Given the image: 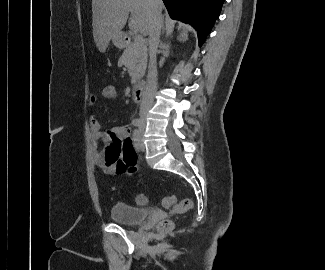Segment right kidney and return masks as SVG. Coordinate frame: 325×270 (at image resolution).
I'll use <instances>...</instances> for the list:
<instances>
[{
	"label": "right kidney",
	"mask_w": 325,
	"mask_h": 270,
	"mask_svg": "<svg viewBox=\"0 0 325 270\" xmlns=\"http://www.w3.org/2000/svg\"><path fill=\"white\" fill-rule=\"evenodd\" d=\"M178 39H179L180 41H186V37H185L184 34H180L179 37H178Z\"/></svg>",
	"instance_id": "obj_1"
}]
</instances>
